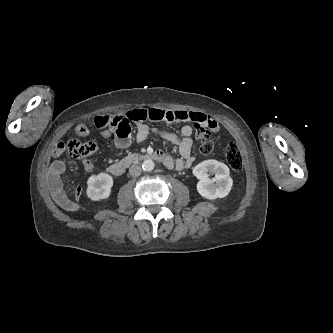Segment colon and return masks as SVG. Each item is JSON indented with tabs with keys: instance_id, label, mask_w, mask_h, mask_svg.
Masks as SVG:
<instances>
[{
	"instance_id": "obj_1",
	"label": "colon",
	"mask_w": 333,
	"mask_h": 333,
	"mask_svg": "<svg viewBox=\"0 0 333 333\" xmlns=\"http://www.w3.org/2000/svg\"><path fill=\"white\" fill-rule=\"evenodd\" d=\"M160 118L157 117L156 120ZM95 125L98 128H110L115 133L120 135H126L130 131L128 122V116L125 115H100L94 120ZM75 133L78 136H86L88 129L85 125H77ZM195 137L200 141V152L204 155L212 153L214 149L213 141L210 138L208 128L203 125H197L195 127ZM98 149V145L94 141L81 142L78 139H69L66 142H59L54 150L55 155H59L64 151H67L75 158H85L92 155ZM225 158L230 168L239 172L242 169V155L238 146L230 142L225 149Z\"/></svg>"
}]
</instances>
